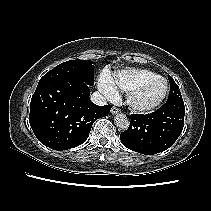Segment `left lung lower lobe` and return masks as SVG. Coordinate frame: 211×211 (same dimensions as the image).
I'll return each mask as SVG.
<instances>
[{
	"label": "left lung lower lobe",
	"mask_w": 211,
	"mask_h": 211,
	"mask_svg": "<svg viewBox=\"0 0 211 211\" xmlns=\"http://www.w3.org/2000/svg\"><path fill=\"white\" fill-rule=\"evenodd\" d=\"M183 99L167 101L150 114H132L129 128L120 134L122 144L135 152L153 155L171 147L184 126Z\"/></svg>",
	"instance_id": "obj_1"
}]
</instances>
